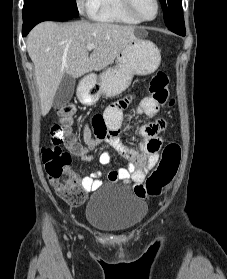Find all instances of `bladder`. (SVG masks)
<instances>
[{"instance_id": "1", "label": "bladder", "mask_w": 227, "mask_h": 279, "mask_svg": "<svg viewBox=\"0 0 227 279\" xmlns=\"http://www.w3.org/2000/svg\"><path fill=\"white\" fill-rule=\"evenodd\" d=\"M147 205L129 188L110 184L87 205V223L105 231H125L140 224Z\"/></svg>"}]
</instances>
